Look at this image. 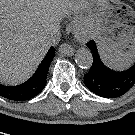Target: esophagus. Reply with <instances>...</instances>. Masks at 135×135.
Wrapping results in <instances>:
<instances>
[{"label":"esophagus","mask_w":135,"mask_h":135,"mask_svg":"<svg viewBox=\"0 0 135 135\" xmlns=\"http://www.w3.org/2000/svg\"><path fill=\"white\" fill-rule=\"evenodd\" d=\"M59 52L65 56H72L74 53V48L68 43H63L59 47Z\"/></svg>","instance_id":"esophagus-1"}]
</instances>
